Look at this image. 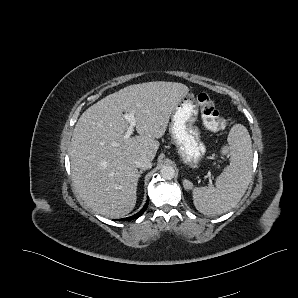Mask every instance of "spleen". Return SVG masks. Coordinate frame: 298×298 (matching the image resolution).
I'll return each instance as SVG.
<instances>
[{"mask_svg": "<svg viewBox=\"0 0 298 298\" xmlns=\"http://www.w3.org/2000/svg\"><path fill=\"white\" fill-rule=\"evenodd\" d=\"M222 157L230 158V165L215 178L216 187L194 190V205L205 215L222 214L238 204L245 194L252 176L253 149L250 134L241 124L234 125L227 142L219 149ZM192 186L190 181L184 183Z\"/></svg>", "mask_w": 298, "mask_h": 298, "instance_id": "obj_1", "label": "spleen"}]
</instances>
